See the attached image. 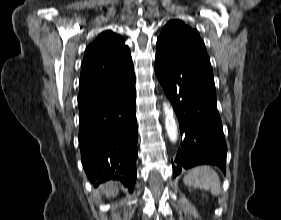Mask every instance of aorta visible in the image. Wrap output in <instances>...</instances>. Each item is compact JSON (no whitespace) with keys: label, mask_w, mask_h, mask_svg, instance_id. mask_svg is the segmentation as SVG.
Returning a JSON list of instances; mask_svg holds the SVG:
<instances>
[{"label":"aorta","mask_w":281,"mask_h":220,"mask_svg":"<svg viewBox=\"0 0 281 220\" xmlns=\"http://www.w3.org/2000/svg\"><path fill=\"white\" fill-rule=\"evenodd\" d=\"M163 111L165 114V128L167 135L171 142H176L178 138V129L175 121L173 109L170 107V104L167 102L163 103Z\"/></svg>","instance_id":"1"}]
</instances>
